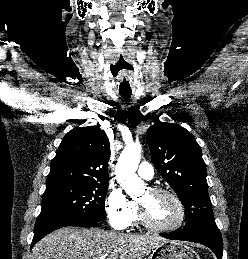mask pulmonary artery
Listing matches in <instances>:
<instances>
[{"label": "pulmonary artery", "mask_w": 248, "mask_h": 259, "mask_svg": "<svg viewBox=\"0 0 248 259\" xmlns=\"http://www.w3.org/2000/svg\"><path fill=\"white\" fill-rule=\"evenodd\" d=\"M137 173L145 180H151L154 176L153 167L148 162H142L138 167Z\"/></svg>", "instance_id": "pulmonary-artery-1"}]
</instances>
